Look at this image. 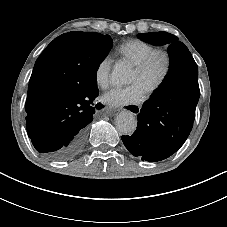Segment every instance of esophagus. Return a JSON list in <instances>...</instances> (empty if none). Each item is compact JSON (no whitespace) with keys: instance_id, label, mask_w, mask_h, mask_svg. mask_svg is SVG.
<instances>
[{"instance_id":"34e87169","label":"esophagus","mask_w":227,"mask_h":227,"mask_svg":"<svg viewBox=\"0 0 227 227\" xmlns=\"http://www.w3.org/2000/svg\"><path fill=\"white\" fill-rule=\"evenodd\" d=\"M141 107L139 105H133L131 103L125 102L122 105V111L125 110L126 112H130L134 115H137L140 112Z\"/></svg>"}]
</instances>
